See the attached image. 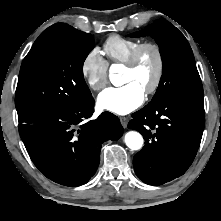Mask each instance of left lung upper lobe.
<instances>
[{"label": "left lung upper lobe", "instance_id": "left-lung-upper-lobe-1", "mask_svg": "<svg viewBox=\"0 0 221 221\" xmlns=\"http://www.w3.org/2000/svg\"><path fill=\"white\" fill-rule=\"evenodd\" d=\"M129 36H151L159 45L163 71L152 101L163 96L203 101V87L193 52L184 35L175 26L168 21L156 20L144 30Z\"/></svg>", "mask_w": 221, "mask_h": 221}]
</instances>
